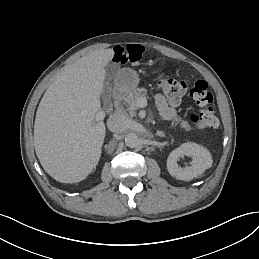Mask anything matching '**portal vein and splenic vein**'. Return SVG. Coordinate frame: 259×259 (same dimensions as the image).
Listing matches in <instances>:
<instances>
[{"mask_svg":"<svg viewBox=\"0 0 259 259\" xmlns=\"http://www.w3.org/2000/svg\"><path fill=\"white\" fill-rule=\"evenodd\" d=\"M147 106V100L145 97H142L137 100V108H145ZM98 119H103L105 117V112H99L97 115Z\"/></svg>","mask_w":259,"mask_h":259,"instance_id":"18ae733b","label":"portal vein and splenic vein"}]
</instances>
